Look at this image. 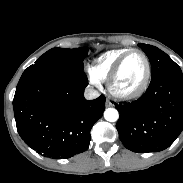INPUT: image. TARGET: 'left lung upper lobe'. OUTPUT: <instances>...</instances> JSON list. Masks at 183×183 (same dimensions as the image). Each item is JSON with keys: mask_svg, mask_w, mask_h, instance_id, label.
<instances>
[{"mask_svg": "<svg viewBox=\"0 0 183 183\" xmlns=\"http://www.w3.org/2000/svg\"><path fill=\"white\" fill-rule=\"evenodd\" d=\"M138 46L146 53L150 60L152 77L179 68V66L165 52L157 47L148 44H138Z\"/></svg>", "mask_w": 183, "mask_h": 183, "instance_id": "1", "label": "left lung upper lobe"}]
</instances>
